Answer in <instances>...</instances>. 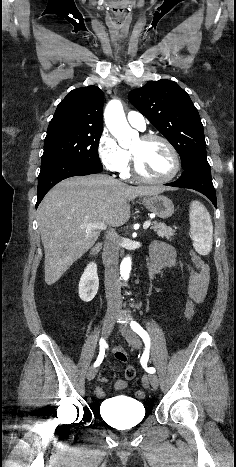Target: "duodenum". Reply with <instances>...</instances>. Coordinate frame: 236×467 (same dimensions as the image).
<instances>
[{
	"label": "duodenum",
	"mask_w": 236,
	"mask_h": 467,
	"mask_svg": "<svg viewBox=\"0 0 236 467\" xmlns=\"http://www.w3.org/2000/svg\"><path fill=\"white\" fill-rule=\"evenodd\" d=\"M100 249H101V245L100 244H97L96 246H94V248L91 250V252L89 253V259L91 261L95 260L96 257L98 256L99 252H100Z\"/></svg>",
	"instance_id": "obj_1"
}]
</instances>
